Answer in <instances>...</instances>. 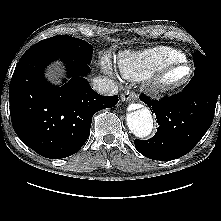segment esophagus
<instances>
[{
    "mask_svg": "<svg viewBox=\"0 0 221 221\" xmlns=\"http://www.w3.org/2000/svg\"><path fill=\"white\" fill-rule=\"evenodd\" d=\"M136 98H137L136 93L133 91H129V90L121 95V100L123 102L133 101Z\"/></svg>",
    "mask_w": 221,
    "mask_h": 221,
    "instance_id": "1",
    "label": "esophagus"
}]
</instances>
